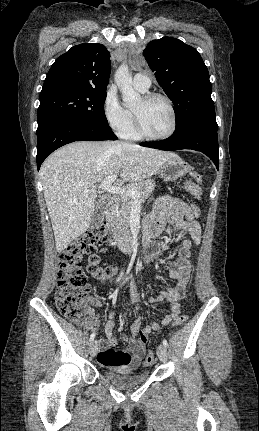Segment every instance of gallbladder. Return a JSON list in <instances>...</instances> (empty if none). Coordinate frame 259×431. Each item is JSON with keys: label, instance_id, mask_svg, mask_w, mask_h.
I'll return each instance as SVG.
<instances>
[{"label": "gallbladder", "instance_id": "obj_1", "mask_svg": "<svg viewBox=\"0 0 259 431\" xmlns=\"http://www.w3.org/2000/svg\"><path fill=\"white\" fill-rule=\"evenodd\" d=\"M104 219V203L102 201H97L95 203L94 211L92 213L90 226L95 228L100 225Z\"/></svg>", "mask_w": 259, "mask_h": 431}]
</instances>
